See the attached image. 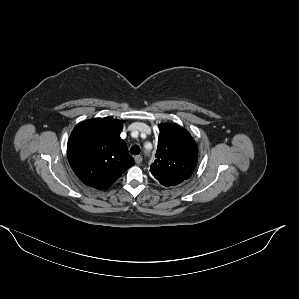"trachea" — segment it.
<instances>
[{
  "label": "trachea",
  "mask_w": 299,
  "mask_h": 299,
  "mask_svg": "<svg viewBox=\"0 0 299 299\" xmlns=\"http://www.w3.org/2000/svg\"><path fill=\"white\" fill-rule=\"evenodd\" d=\"M130 153L132 155H138L140 153V147L138 145H133L131 148H130Z\"/></svg>",
  "instance_id": "trachea-1"
}]
</instances>
